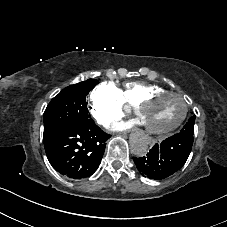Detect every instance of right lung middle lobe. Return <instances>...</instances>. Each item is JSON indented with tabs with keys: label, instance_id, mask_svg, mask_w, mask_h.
I'll return each mask as SVG.
<instances>
[{
	"label": "right lung middle lobe",
	"instance_id": "dd1d6c3e",
	"mask_svg": "<svg viewBox=\"0 0 227 227\" xmlns=\"http://www.w3.org/2000/svg\"><path fill=\"white\" fill-rule=\"evenodd\" d=\"M97 84V80L88 79L68 86L56 95L44 112L43 137L69 125L93 123L88 114L86 96Z\"/></svg>",
	"mask_w": 227,
	"mask_h": 227
}]
</instances>
